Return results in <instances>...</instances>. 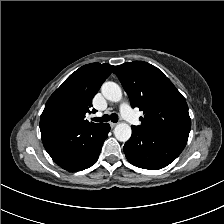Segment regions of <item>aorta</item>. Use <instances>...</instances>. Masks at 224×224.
<instances>
[{
  "instance_id": "1",
  "label": "aorta",
  "mask_w": 224,
  "mask_h": 224,
  "mask_svg": "<svg viewBox=\"0 0 224 224\" xmlns=\"http://www.w3.org/2000/svg\"><path fill=\"white\" fill-rule=\"evenodd\" d=\"M102 94L104 97L112 102H119L122 99V90L115 82H105L102 87ZM132 130L129 124L121 122L114 128V135L120 142H126L130 139Z\"/></svg>"
}]
</instances>
